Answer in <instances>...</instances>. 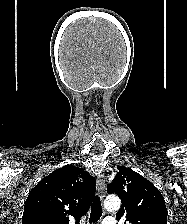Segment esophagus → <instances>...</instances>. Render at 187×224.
Listing matches in <instances>:
<instances>
[{
    "mask_svg": "<svg viewBox=\"0 0 187 224\" xmlns=\"http://www.w3.org/2000/svg\"><path fill=\"white\" fill-rule=\"evenodd\" d=\"M97 184H98L99 194H100L101 198L103 199L105 197V194H106V185H105L104 174L101 173V174L98 175Z\"/></svg>",
    "mask_w": 187,
    "mask_h": 224,
    "instance_id": "34e87169",
    "label": "esophagus"
}]
</instances>
